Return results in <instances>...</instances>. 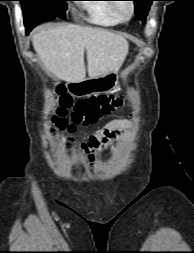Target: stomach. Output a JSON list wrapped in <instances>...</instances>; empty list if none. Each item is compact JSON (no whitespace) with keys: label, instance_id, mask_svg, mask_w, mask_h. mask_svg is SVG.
Masks as SVG:
<instances>
[{"label":"stomach","instance_id":"1","mask_svg":"<svg viewBox=\"0 0 194 253\" xmlns=\"http://www.w3.org/2000/svg\"><path fill=\"white\" fill-rule=\"evenodd\" d=\"M117 83V71H112L98 77L70 83L69 90L74 96L84 97L109 92L116 87Z\"/></svg>","mask_w":194,"mask_h":253}]
</instances>
